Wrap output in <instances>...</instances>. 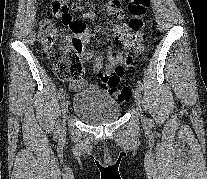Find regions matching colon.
Wrapping results in <instances>:
<instances>
[{
	"mask_svg": "<svg viewBox=\"0 0 207 179\" xmlns=\"http://www.w3.org/2000/svg\"><path fill=\"white\" fill-rule=\"evenodd\" d=\"M53 13H59L64 24H70L72 19L70 12L78 10V7L71 4L70 0H50ZM150 6V0H130L128 4V12L131 16L129 20V28L134 34L129 37L130 42L141 50L147 44L148 36L144 32L146 25L144 16ZM39 37L44 49L48 52L53 60L54 68L58 78L64 82L81 84L85 78V67L77 54L76 44L73 40L69 42V46L62 53H57L53 46L57 39V27L51 19H44L39 28ZM127 65L137 68L139 59L135 57V53L127 51L124 54ZM126 68L117 66L113 73L109 74L104 70L101 74V85L112 96L121 102L128 101L131 98L132 90L126 86H120L121 77L124 75Z\"/></svg>",
	"mask_w": 207,
	"mask_h": 179,
	"instance_id": "colon-1",
	"label": "colon"
}]
</instances>
